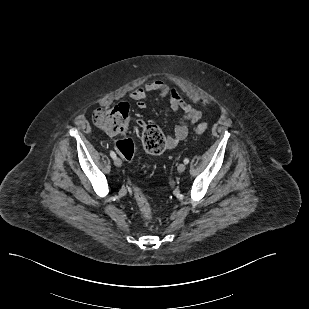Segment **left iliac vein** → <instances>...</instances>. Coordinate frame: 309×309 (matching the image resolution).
I'll return each mask as SVG.
<instances>
[{"label": "left iliac vein", "mask_w": 309, "mask_h": 309, "mask_svg": "<svg viewBox=\"0 0 309 309\" xmlns=\"http://www.w3.org/2000/svg\"><path fill=\"white\" fill-rule=\"evenodd\" d=\"M185 169H186V165L184 163L179 164L178 167H177V170L180 173L184 172Z\"/></svg>", "instance_id": "left-iliac-vein-1"}]
</instances>
